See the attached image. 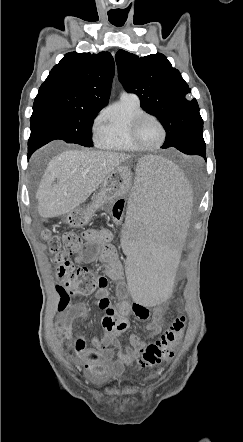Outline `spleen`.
Wrapping results in <instances>:
<instances>
[{"label":"spleen","instance_id":"obj_1","mask_svg":"<svg viewBox=\"0 0 243 442\" xmlns=\"http://www.w3.org/2000/svg\"><path fill=\"white\" fill-rule=\"evenodd\" d=\"M133 175L131 192L143 193L131 194L122 228L127 296L137 307H161L174 291L183 231L193 226L192 194L187 173L160 157H143Z\"/></svg>","mask_w":243,"mask_h":442}]
</instances>
